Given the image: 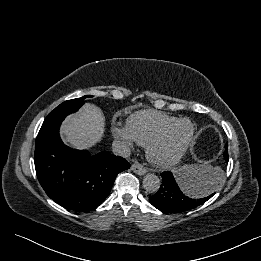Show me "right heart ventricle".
<instances>
[{"mask_svg": "<svg viewBox=\"0 0 261 261\" xmlns=\"http://www.w3.org/2000/svg\"><path fill=\"white\" fill-rule=\"evenodd\" d=\"M178 118L155 110H141L132 114L126 126L140 145H147L159 132Z\"/></svg>", "mask_w": 261, "mask_h": 261, "instance_id": "e07e8e85", "label": "right heart ventricle"}]
</instances>
